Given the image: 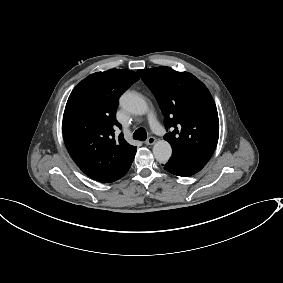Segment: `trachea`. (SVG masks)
<instances>
[{
    "instance_id": "trachea-1",
    "label": "trachea",
    "mask_w": 283,
    "mask_h": 283,
    "mask_svg": "<svg viewBox=\"0 0 283 283\" xmlns=\"http://www.w3.org/2000/svg\"><path fill=\"white\" fill-rule=\"evenodd\" d=\"M133 138L137 139V140H146L147 138V133L146 130L144 128H138L134 134H133Z\"/></svg>"
}]
</instances>
